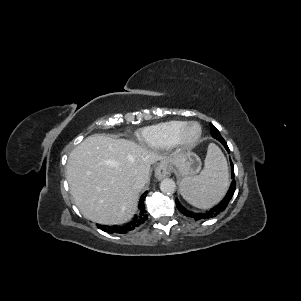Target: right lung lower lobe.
<instances>
[{
  "mask_svg": "<svg viewBox=\"0 0 301 301\" xmlns=\"http://www.w3.org/2000/svg\"><path fill=\"white\" fill-rule=\"evenodd\" d=\"M147 195V192H145L140 199L139 202V209H140V214L135 216L132 221L129 223L120 226V225H114V226H100L97 224L98 228L102 229L105 232L108 233H119V234H126L129 231L134 230L136 227L139 225L143 224L145 220L147 219L146 211L144 208V198Z\"/></svg>",
  "mask_w": 301,
  "mask_h": 301,
  "instance_id": "1",
  "label": "right lung lower lobe"
}]
</instances>
